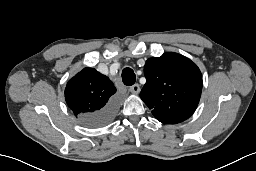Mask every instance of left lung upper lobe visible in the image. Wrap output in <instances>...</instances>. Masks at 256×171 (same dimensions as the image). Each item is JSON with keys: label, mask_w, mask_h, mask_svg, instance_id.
Here are the masks:
<instances>
[{"label": "left lung upper lobe", "mask_w": 256, "mask_h": 171, "mask_svg": "<svg viewBox=\"0 0 256 171\" xmlns=\"http://www.w3.org/2000/svg\"><path fill=\"white\" fill-rule=\"evenodd\" d=\"M144 75L140 97L157 120L176 124L194 113L202 91L201 72L194 62L177 53H164L146 61Z\"/></svg>", "instance_id": "left-lung-upper-lobe-1"}]
</instances>
